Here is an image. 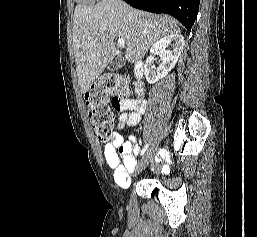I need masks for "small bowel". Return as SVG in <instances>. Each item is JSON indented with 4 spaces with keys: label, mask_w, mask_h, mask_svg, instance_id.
I'll use <instances>...</instances> for the list:
<instances>
[{
    "label": "small bowel",
    "mask_w": 257,
    "mask_h": 237,
    "mask_svg": "<svg viewBox=\"0 0 257 237\" xmlns=\"http://www.w3.org/2000/svg\"><path fill=\"white\" fill-rule=\"evenodd\" d=\"M114 108L119 111L115 123L116 132L113 133L110 141L103 148V156L106 163L113 170L116 184L120 187H127L130 182V174L136 170V156L139 153V146L133 136L127 139L120 134L126 127H134L140 122L141 116L147 108L144 99H124L113 103Z\"/></svg>",
    "instance_id": "small-bowel-1"
}]
</instances>
